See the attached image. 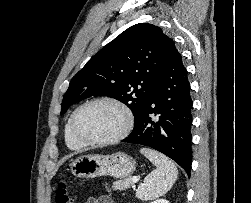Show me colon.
<instances>
[{"mask_svg":"<svg viewBox=\"0 0 251 203\" xmlns=\"http://www.w3.org/2000/svg\"><path fill=\"white\" fill-rule=\"evenodd\" d=\"M55 203H74L73 198L66 186V184L61 183L55 192Z\"/></svg>","mask_w":251,"mask_h":203,"instance_id":"colon-1","label":"colon"}]
</instances>
